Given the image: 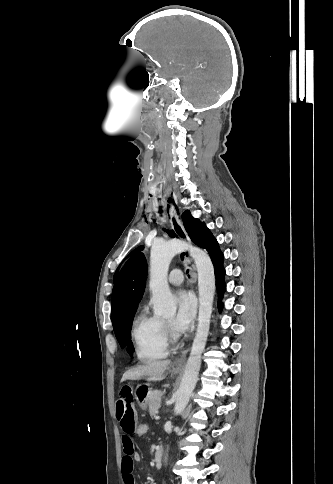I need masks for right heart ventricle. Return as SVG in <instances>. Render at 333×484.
I'll return each instance as SVG.
<instances>
[{"instance_id": "1", "label": "right heart ventricle", "mask_w": 333, "mask_h": 484, "mask_svg": "<svg viewBox=\"0 0 333 484\" xmlns=\"http://www.w3.org/2000/svg\"><path fill=\"white\" fill-rule=\"evenodd\" d=\"M132 336L137 357L143 362L163 359L168 353L164 321L143 307L136 315Z\"/></svg>"}]
</instances>
